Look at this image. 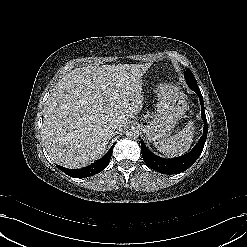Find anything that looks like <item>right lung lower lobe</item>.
Wrapping results in <instances>:
<instances>
[{"instance_id":"obj_1","label":"right lung lower lobe","mask_w":247,"mask_h":247,"mask_svg":"<svg viewBox=\"0 0 247 247\" xmlns=\"http://www.w3.org/2000/svg\"><path fill=\"white\" fill-rule=\"evenodd\" d=\"M113 146L109 149V151L98 161L94 162L93 164L82 168V169H68L62 166L57 165V167L63 171L64 173H66L67 175L71 176V177H75V178H84V177H89L92 176L94 174H97L99 172H101L102 170H104L106 168V166L108 165L110 159H111V155H112V151H113Z\"/></svg>"}]
</instances>
